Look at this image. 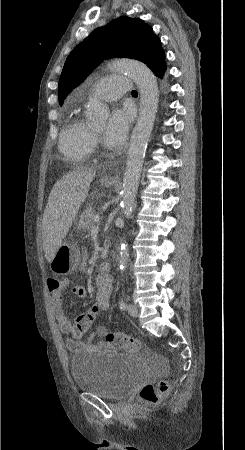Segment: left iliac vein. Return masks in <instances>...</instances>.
I'll list each match as a JSON object with an SVG mask.
<instances>
[{
  "instance_id": "left-iliac-vein-1",
  "label": "left iliac vein",
  "mask_w": 245,
  "mask_h": 450,
  "mask_svg": "<svg viewBox=\"0 0 245 450\" xmlns=\"http://www.w3.org/2000/svg\"><path fill=\"white\" fill-rule=\"evenodd\" d=\"M127 310H128V313L132 316V317H138V315H139V309H138V307L136 306V305H134V304H129L128 306H127Z\"/></svg>"
}]
</instances>
